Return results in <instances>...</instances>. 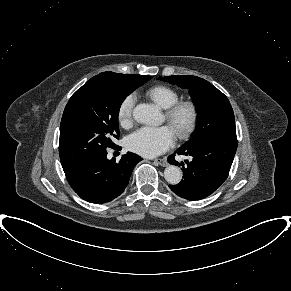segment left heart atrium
<instances>
[{"label":"left heart atrium","instance_id":"obj_1","mask_svg":"<svg viewBox=\"0 0 291 291\" xmlns=\"http://www.w3.org/2000/svg\"><path fill=\"white\" fill-rule=\"evenodd\" d=\"M175 132L169 126L142 127L127 138V147L142 156L154 157L173 146Z\"/></svg>","mask_w":291,"mask_h":291}]
</instances>
